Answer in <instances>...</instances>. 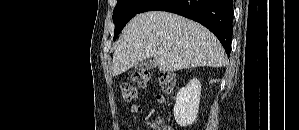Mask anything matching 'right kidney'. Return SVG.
Instances as JSON below:
<instances>
[{"instance_id": "right-kidney-1", "label": "right kidney", "mask_w": 299, "mask_h": 130, "mask_svg": "<svg viewBox=\"0 0 299 130\" xmlns=\"http://www.w3.org/2000/svg\"><path fill=\"white\" fill-rule=\"evenodd\" d=\"M201 95V84L196 78L182 87L176 96L173 113L176 122L180 126H188L196 120Z\"/></svg>"}]
</instances>
